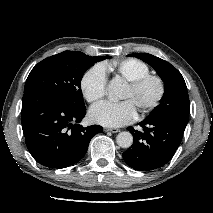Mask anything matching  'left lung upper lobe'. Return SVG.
<instances>
[{"label":"left lung upper lobe","instance_id":"obj_1","mask_svg":"<svg viewBox=\"0 0 213 213\" xmlns=\"http://www.w3.org/2000/svg\"><path fill=\"white\" fill-rule=\"evenodd\" d=\"M128 56L137 57L151 65L164 82L165 93L146 119L163 116H177L189 120L190 102L186 83L181 73L169 62L148 53H133Z\"/></svg>","mask_w":213,"mask_h":213}]
</instances>
